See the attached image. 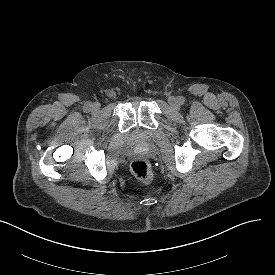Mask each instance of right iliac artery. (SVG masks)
<instances>
[{"label": "right iliac artery", "mask_w": 275, "mask_h": 275, "mask_svg": "<svg viewBox=\"0 0 275 275\" xmlns=\"http://www.w3.org/2000/svg\"><path fill=\"white\" fill-rule=\"evenodd\" d=\"M84 110L85 111H90L91 110V103H86V105L84 106Z\"/></svg>", "instance_id": "right-iliac-artery-1"}]
</instances>
